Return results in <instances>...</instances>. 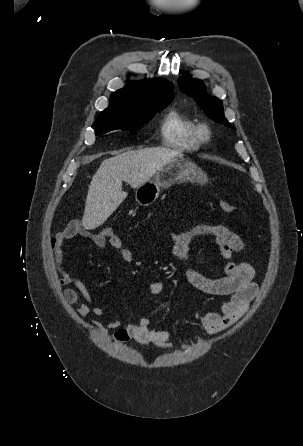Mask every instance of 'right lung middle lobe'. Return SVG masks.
Segmentation results:
<instances>
[{
	"label": "right lung middle lobe",
	"instance_id": "obj_1",
	"mask_svg": "<svg viewBox=\"0 0 303 446\" xmlns=\"http://www.w3.org/2000/svg\"><path fill=\"white\" fill-rule=\"evenodd\" d=\"M168 104L158 105L150 110L140 113L119 112L104 110L96 120V135H100L115 129L134 132L141 129L152 116L165 108Z\"/></svg>",
	"mask_w": 303,
	"mask_h": 446
}]
</instances>
